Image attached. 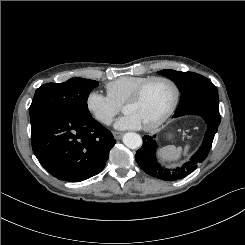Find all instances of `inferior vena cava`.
<instances>
[{"mask_svg":"<svg viewBox=\"0 0 245 245\" xmlns=\"http://www.w3.org/2000/svg\"><path fill=\"white\" fill-rule=\"evenodd\" d=\"M111 122H112L111 120H108V121L106 122V124H111Z\"/></svg>","mask_w":245,"mask_h":245,"instance_id":"602c4592","label":"inferior vena cava"}]
</instances>
